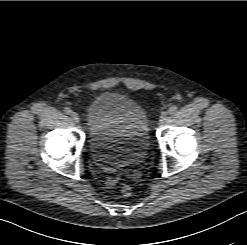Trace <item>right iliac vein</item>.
Listing matches in <instances>:
<instances>
[{
  "instance_id": "right-iliac-vein-1",
  "label": "right iliac vein",
  "mask_w": 247,
  "mask_h": 245,
  "mask_svg": "<svg viewBox=\"0 0 247 245\" xmlns=\"http://www.w3.org/2000/svg\"><path fill=\"white\" fill-rule=\"evenodd\" d=\"M70 115H71L72 120H73L75 123H79L80 118H79V115H78L76 112H71Z\"/></svg>"
}]
</instances>
